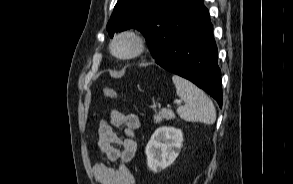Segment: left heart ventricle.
Wrapping results in <instances>:
<instances>
[{"label": "left heart ventricle", "instance_id": "left-heart-ventricle-1", "mask_svg": "<svg viewBox=\"0 0 293 184\" xmlns=\"http://www.w3.org/2000/svg\"><path fill=\"white\" fill-rule=\"evenodd\" d=\"M115 50L119 54H127L133 50V43L130 39L124 38L117 42Z\"/></svg>", "mask_w": 293, "mask_h": 184}]
</instances>
